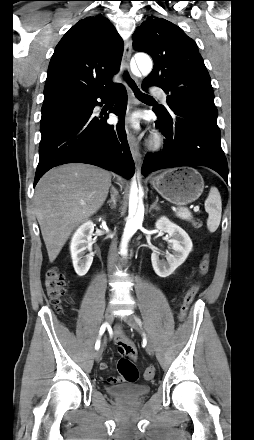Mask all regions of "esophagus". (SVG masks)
<instances>
[{"label": "esophagus", "instance_id": "34e87169", "mask_svg": "<svg viewBox=\"0 0 254 440\" xmlns=\"http://www.w3.org/2000/svg\"><path fill=\"white\" fill-rule=\"evenodd\" d=\"M131 53H132V42L131 40H128L125 43L124 51H123V57H122V69L123 70H129V63L131 59ZM128 92H129V101H128V107H127V113H126V133H127V139L130 147V151L132 154V157L136 163H138L141 160V154L139 152V146L138 142L136 140V136L134 131L132 130L131 124H130V117L131 114L136 106V102L134 100L133 92L129 86H127Z\"/></svg>", "mask_w": 254, "mask_h": 440}]
</instances>
